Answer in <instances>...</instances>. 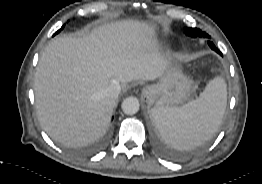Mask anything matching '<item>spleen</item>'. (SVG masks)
Masks as SVG:
<instances>
[{"mask_svg": "<svg viewBox=\"0 0 262 184\" xmlns=\"http://www.w3.org/2000/svg\"><path fill=\"white\" fill-rule=\"evenodd\" d=\"M226 102V82L221 77H215L196 100L181 107L156 106L152 109V116L166 143L176 149H189L217 132Z\"/></svg>", "mask_w": 262, "mask_h": 184, "instance_id": "3e777b00", "label": "spleen"}]
</instances>
